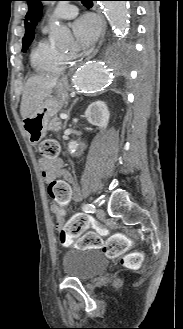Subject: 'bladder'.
<instances>
[{
    "mask_svg": "<svg viewBox=\"0 0 183 329\" xmlns=\"http://www.w3.org/2000/svg\"><path fill=\"white\" fill-rule=\"evenodd\" d=\"M107 265L108 260L95 248L69 249L62 256L65 275L82 281L92 279L103 272Z\"/></svg>",
    "mask_w": 183,
    "mask_h": 329,
    "instance_id": "1",
    "label": "bladder"
}]
</instances>
